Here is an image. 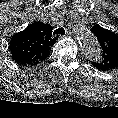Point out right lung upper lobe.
I'll use <instances>...</instances> for the list:
<instances>
[{"label":"right lung upper lobe","instance_id":"cb5924a9","mask_svg":"<svg viewBox=\"0 0 118 118\" xmlns=\"http://www.w3.org/2000/svg\"><path fill=\"white\" fill-rule=\"evenodd\" d=\"M58 38L52 35V27L40 21L15 34L9 49L12 59L23 66L37 65L50 55L52 45Z\"/></svg>","mask_w":118,"mask_h":118}]
</instances>
